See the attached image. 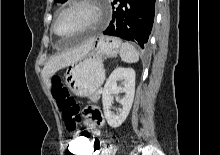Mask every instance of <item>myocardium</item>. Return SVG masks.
<instances>
[{
	"label": "myocardium",
	"instance_id": "obj_1",
	"mask_svg": "<svg viewBox=\"0 0 220 155\" xmlns=\"http://www.w3.org/2000/svg\"><path fill=\"white\" fill-rule=\"evenodd\" d=\"M77 7H88L92 11V16L82 28H80L77 32L71 34L70 36L82 34L92 29L93 27L98 25L104 18V6L101 0H70L67 5L60 8L55 14L52 22V31L55 35L61 36L56 31V22L59 16Z\"/></svg>",
	"mask_w": 220,
	"mask_h": 155
}]
</instances>
